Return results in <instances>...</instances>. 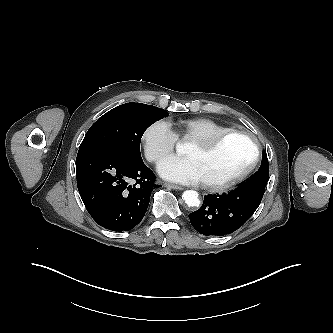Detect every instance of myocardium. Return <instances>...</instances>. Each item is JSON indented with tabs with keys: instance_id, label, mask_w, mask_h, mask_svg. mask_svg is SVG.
Instances as JSON below:
<instances>
[{
	"instance_id": "obj_1",
	"label": "myocardium",
	"mask_w": 333,
	"mask_h": 333,
	"mask_svg": "<svg viewBox=\"0 0 333 333\" xmlns=\"http://www.w3.org/2000/svg\"><path fill=\"white\" fill-rule=\"evenodd\" d=\"M231 136H239L245 138L251 145L252 157L249 163L240 172L233 175L232 177L220 182H202L203 187L210 191L222 192L244 180L253 171L259 161V145L254 136H252L250 133L235 129L227 130L212 137L195 139L191 141V143L195 144L203 151H211Z\"/></svg>"
}]
</instances>
